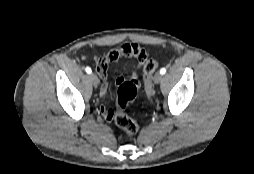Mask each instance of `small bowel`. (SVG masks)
<instances>
[{"instance_id": "1", "label": "small bowel", "mask_w": 254, "mask_h": 174, "mask_svg": "<svg viewBox=\"0 0 254 174\" xmlns=\"http://www.w3.org/2000/svg\"><path fill=\"white\" fill-rule=\"evenodd\" d=\"M123 57H128V58H132L135 59L137 61V63L139 65H142L146 59H147V53L146 51L141 48L138 45H134L133 47L129 44H124L120 47L115 48L114 50L109 51L108 53H106L105 55H103L102 57L96 58V64H97V71L103 81V85L101 88V98L103 100L107 99V71H108V67L117 62L118 60H120ZM125 78L122 76H119L116 78V84L118 86H120L121 84H123L125 82ZM130 82H133L135 84H139L140 83V78H139V73L137 70H134L131 73L130 76ZM101 113L102 116L110 121L112 120L113 117V111L109 108H107L106 106L102 105L101 108Z\"/></svg>"}]
</instances>
